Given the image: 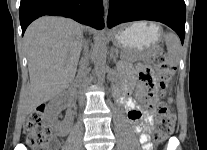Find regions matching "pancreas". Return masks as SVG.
Here are the masks:
<instances>
[{"label": "pancreas", "mask_w": 207, "mask_h": 150, "mask_svg": "<svg viewBox=\"0 0 207 150\" xmlns=\"http://www.w3.org/2000/svg\"><path fill=\"white\" fill-rule=\"evenodd\" d=\"M151 52L139 53L132 55L130 57H126L128 61H149L151 59ZM122 59L125 60V56L122 55Z\"/></svg>", "instance_id": "pancreas-1"}]
</instances>
